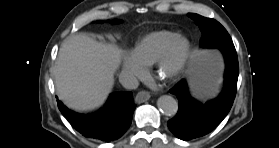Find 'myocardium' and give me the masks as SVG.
<instances>
[{
    "label": "myocardium",
    "mask_w": 279,
    "mask_h": 148,
    "mask_svg": "<svg viewBox=\"0 0 279 148\" xmlns=\"http://www.w3.org/2000/svg\"><path fill=\"white\" fill-rule=\"evenodd\" d=\"M190 49L189 39L176 35L156 62V75L168 82L176 80L186 67Z\"/></svg>",
    "instance_id": "myocardium-1"
}]
</instances>
